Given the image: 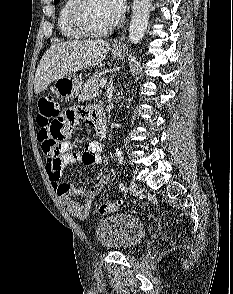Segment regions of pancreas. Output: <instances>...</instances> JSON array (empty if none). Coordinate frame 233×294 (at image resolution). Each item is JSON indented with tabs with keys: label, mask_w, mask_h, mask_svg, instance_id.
<instances>
[{
	"label": "pancreas",
	"mask_w": 233,
	"mask_h": 294,
	"mask_svg": "<svg viewBox=\"0 0 233 294\" xmlns=\"http://www.w3.org/2000/svg\"><path fill=\"white\" fill-rule=\"evenodd\" d=\"M99 74H94L83 85L79 95L80 101L91 100L99 95Z\"/></svg>",
	"instance_id": "cf45deb5"
}]
</instances>
